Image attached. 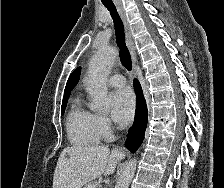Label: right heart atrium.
I'll use <instances>...</instances> for the list:
<instances>
[{
  "mask_svg": "<svg viewBox=\"0 0 224 188\" xmlns=\"http://www.w3.org/2000/svg\"><path fill=\"white\" fill-rule=\"evenodd\" d=\"M94 122L101 137H108L111 134L112 126L106 116L94 114Z\"/></svg>",
  "mask_w": 224,
  "mask_h": 188,
  "instance_id": "1",
  "label": "right heart atrium"
}]
</instances>
